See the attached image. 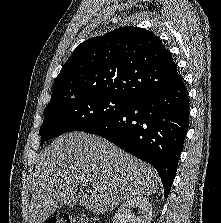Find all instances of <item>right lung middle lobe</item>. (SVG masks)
I'll return each mask as SVG.
<instances>
[{
    "instance_id": "dd1d6c3e",
    "label": "right lung middle lobe",
    "mask_w": 221,
    "mask_h": 223,
    "mask_svg": "<svg viewBox=\"0 0 221 223\" xmlns=\"http://www.w3.org/2000/svg\"><path fill=\"white\" fill-rule=\"evenodd\" d=\"M133 100L108 95H80L48 104L39 134L45 140L71 131H85L123 112Z\"/></svg>"
}]
</instances>
